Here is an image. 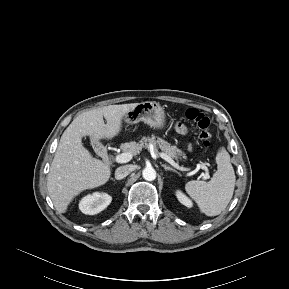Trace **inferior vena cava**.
I'll use <instances>...</instances> for the list:
<instances>
[{
  "label": "inferior vena cava",
  "mask_w": 289,
  "mask_h": 289,
  "mask_svg": "<svg viewBox=\"0 0 289 289\" xmlns=\"http://www.w3.org/2000/svg\"><path fill=\"white\" fill-rule=\"evenodd\" d=\"M134 170L133 165H124L120 166L115 171V178L120 180L125 178L128 174H130Z\"/></svg>",
  "instance_id": "inferior-vena-cava-1"
}]
</instances>
